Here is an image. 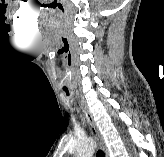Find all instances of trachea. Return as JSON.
<instances>
[{
  "instance_id": "1",
  "label": "trachea",
  "mask_w": 164,
  "mask_h": 157,
  "mask_svg": "<svg viewBox=\"0 0 164 157\" xmlns=\"http://www.w3.org/2000/svg\"><path fill=\"white\" fill-rule=\"evenodd\" d=\"M67 95H69V92L67 89H64ZM97 157H105V153L102 150H98Z\"/></svg>"
}]
</instances>
